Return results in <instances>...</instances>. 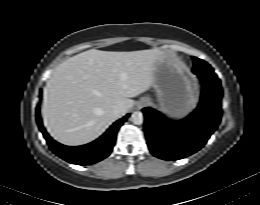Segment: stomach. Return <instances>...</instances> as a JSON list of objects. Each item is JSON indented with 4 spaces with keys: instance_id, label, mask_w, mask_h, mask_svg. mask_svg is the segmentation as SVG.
Wrapping results in <instances>:
<instances>
[{
    "instance_id": "1",
    "label": "stomach",
    "mask_w": 260,
    "mask_h": 205,
    "mask_svg": "<svg viewBox=\"0 0 260 205\" xmlns=\"http://www.w3.org/2000/svg\"><path fill=\"white\" fill-rule=\"evenodd\" d=\"M153 78L158 105L166 115L178 119L194 107L193 83L176 57L165 54L156 63Z\"/></svg>"
}]
</instances>
